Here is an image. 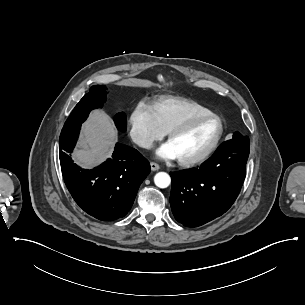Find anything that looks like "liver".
I'll use <instances>...</instances> for the list:
<instances>
[{
  "instance_id": "1",
  "label": "liver",
  "mask_w": 305,
  "mask_h": 305,
  "mask_svg": "<svg viewBox=\"0 0 305 305\" xmlns=\"http://www.w3.org/2000/svg\"><path fill=\"white\" fill-rule=\"evenodd\" d=\"M116 141L117 131L111 118L102 110H94L82 126L72 157L82 168H92L111 155Z\"/></svg>"
}]
</instances>
